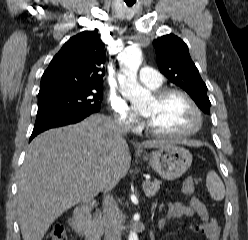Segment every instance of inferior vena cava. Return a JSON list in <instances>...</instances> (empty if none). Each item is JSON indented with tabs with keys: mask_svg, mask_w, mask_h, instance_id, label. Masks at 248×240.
Segmentation results:
<instances>
[{
	"mask_svg": "<svg viewBox=\"0 0 248 240\" xmlns=\"http://www.w3.org/2000/svg\"><path fill=\"white\" fill-rule=\"evenodd\" d=\"M114 124L116 129L122 134H126L129 131V127L121 121H114ZM113 187L114 183L112 182H109L104 187L103 227L105 240H121L118 221V207L113 196L110 194Z\"/></svg>",
	"mask_w": 248,
	"mask_h": 240,
	"instance_id": "inferior-vena-cava-1",
	"label": "inferior vena cava"
}]
</instances>
